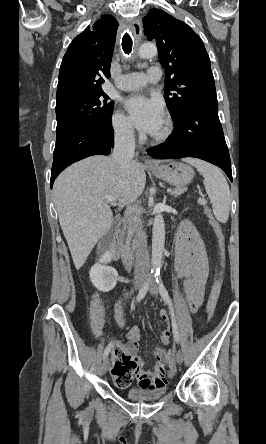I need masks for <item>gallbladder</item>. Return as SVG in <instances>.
Returning <instances> with one entry per match:
<instances>
[{
    "label": "gallbladder",
    "instance_id": "1",
    "mask_svg": "<svg viewBox=\"0 0 266 444\" xmlns=\"http://www.w3.org/2000/svg\"><path fill=\"white\" fill-rule=\"evenodd\" d=\"M112 233H113V229L111 230L110 233H108V234L105 236V242H106V243H108L109 240L111 239V237H112Z\"/></svg>",
    "mask_w": 266,
    "mask_h": 444
}]
</instances>
